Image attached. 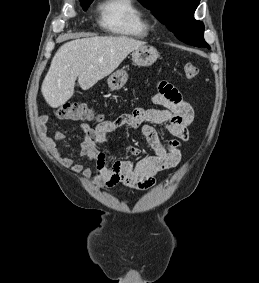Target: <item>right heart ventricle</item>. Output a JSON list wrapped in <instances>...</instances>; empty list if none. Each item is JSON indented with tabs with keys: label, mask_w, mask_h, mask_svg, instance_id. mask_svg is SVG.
<instances>
[{
	"label": "right heart ventricle",
	"mask_w": 259,
	"mask_h": 283,
	"mask_svg": "<svg viewBox=\"0 0 259 283\" xmlns=\"http://www.w3.org/2000/svg\"><path fill=\"white\" fill-rule=\"evenodd\" d=\"M101 22L108 31L126 37L145 38L151 31L146 13L134 0H106Z\"/></svg>",
	"instance_id": "1"
}]
</instances>
